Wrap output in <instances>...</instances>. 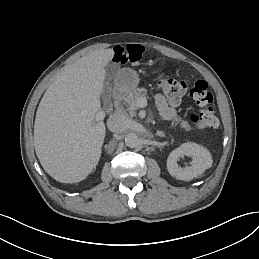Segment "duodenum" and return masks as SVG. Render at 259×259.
<instances>
[{"label": "duodenum", "instance_id": "1", "mask_svg": "<svg viewBox=\"0 0 259 259\" xmlns=\"http://www.w3.org/2000/svg\"><path fill=\"white\" fill-rule=\"evenodd\" d=\"M125 95H126V90L124 88L119 87L115 90L114 96H113V105L115 108H117L120 105Z\"/></svg>", "mask_w": 259, "mask_h": 259}]
</instances>
